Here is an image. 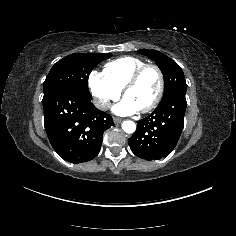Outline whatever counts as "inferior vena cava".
Wrapping results in <instances>:
<instances>
[{
    "label": "inferior vena cava",
    "mask_w": 236,
    "mask_h": 236,
    "mask_svg": "<svg viewBox=\"0 0 236 236\" xmlns=\"http://www.w3.org/2000/svg\"><path fill=\"white\" fill-rule=\"evenodd\" d=\"M93 104L97 109L103 110V111H107L111 108L110 102L107 99L94 97Z\"/></svg>",
    "instance_id": "inferior-vena-cava-1"
}]
</instances>
